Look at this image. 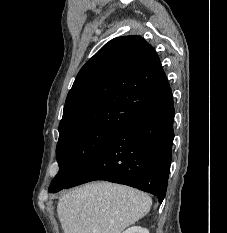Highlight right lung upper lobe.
Returning a JSON list of instances; mask_svg holds the SVG:
<instances>
[{
    "mask_svg": "<svg viewBox=\"0 0 227 233\" xmlns=\"http://www.w3.org/2000/svg\"><path fill=\"white\" fill-rule=\"evenodd\" d=\"M172 97L160 59L142 37L106 43L79 71L59 134L86 127L119 130Z\"/></svg>",
    "mask_w": 227,
    "mask_h": 233,
    "instance_id": "1",
    "label": "right lung upper lobe"
}]
</instances>
